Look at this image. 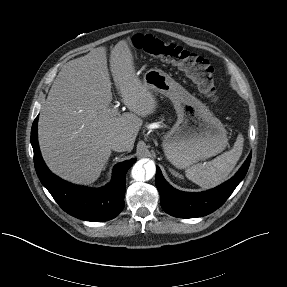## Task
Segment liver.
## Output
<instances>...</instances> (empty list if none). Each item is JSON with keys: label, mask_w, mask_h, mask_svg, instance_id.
<instances>
[{"label": "liver", "mask_w": 287, "mask_h": 287, "mask_svg": "<svg viewBox=\"0 0 287 287\" xmlns=\"http://www.w3.org/2000/svg\"><path fill=\"white\" fill-rule=\"evenodd\" d=\"M131 42L119 41L110 53V68L130 112L114 115L106 47L67 62L41 108L38 137L49 169L76 184L95 182L111 155L110 140L119 137L134 147L142 119L157 101L135 73Z\"/></svg>", "instance_id": "1"}]
</instances>
